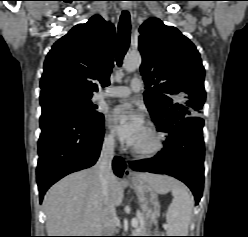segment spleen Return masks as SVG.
<instances>
[{
  "mask_svg": "<svg viewBox=\"0 0 248 237\" xmlns=\"http://www.w3.org/2000/svg\"><path fill=\"white\" fill-rule=\"evenodd\" d=\"M171 191L173 200L167 211L165 229L168 236H187L194 200L182 184L174 183Z\"/></svg>",
  "mask_w": 248,
  "mask_h": 237,
  "instance_id": "spleen-1",
  "label": "spleen"
}]
</instances>
